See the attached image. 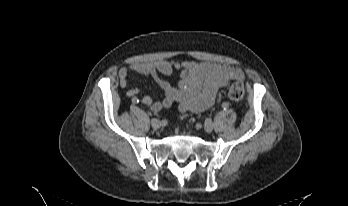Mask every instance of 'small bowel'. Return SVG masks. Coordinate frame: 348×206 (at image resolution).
<instances>
[{
	"label": "small bowel",
	"mask_w": 348,
	"mask_h": 206,
	"mask_svg": "<svg viewBox=\"0 0 348 206\" xmlns=\"http://www.w3.org/2000/svg\"><path fill=\"white\" fill-rule=\"evenodd\" d=\"M174 70H179L181 79L173 86L161 76H169ZM129 72L153 79L162 91L160 101H153L139 88L127 90L126 96L134 104H144L152 112H159L176 104L181 112H201L208 109L215 101L216 93L232 80H243L244 73L233 65L215 64L209 62L174 63L166 60L154 62L133 63L123 67L118 72L121 88L128 87Z\"/></svg>",
	"instance_id": "c3829d8e"
}]
</instances>
